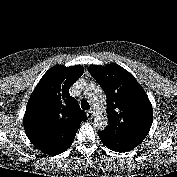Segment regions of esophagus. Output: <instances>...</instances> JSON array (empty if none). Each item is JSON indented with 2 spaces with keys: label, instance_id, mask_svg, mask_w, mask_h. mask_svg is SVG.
<instances>
[{
  "label": "esophagus",
  "instance_id": "esophagus-1",
  "mask_svg": "<svg viewBox=\"0 0 177 177\" xmlns=\"http://www.w3.org/2000/svg\"><path fill=\"white\" fill-rule=\"evenodd\" d=\"M94 114H95V113H94L92 110L86 111V115H87L88 119H92L93 116H94Z\"/></svg>",
  "mask_w": 177,
  "mask_h": 177
}]
</instances>
